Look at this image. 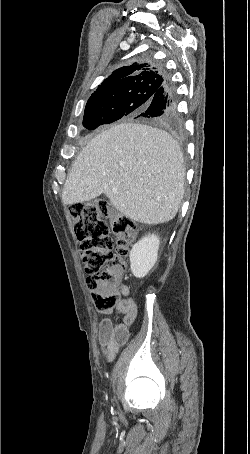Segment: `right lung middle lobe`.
<instances>
[{
	"mask_svg": "<svg viewBox=\"0 0 250 454\" xmlns=\"http://www.w3.org/2000/svg\"><path fill=\"white\" fill-rule=\"evenodd\" d=\"M157 91H160V88L155 85H141L119 98H104L93 103H87L83 126L88 130H93L127 116L161 124L156 119L141 117Z\"/></svg>",
	"mask_w": 250,
	"mask_h": 454,
	"instance_id": "obj_1",
	"label": "right lung middle lobe"
}]
</instances>
